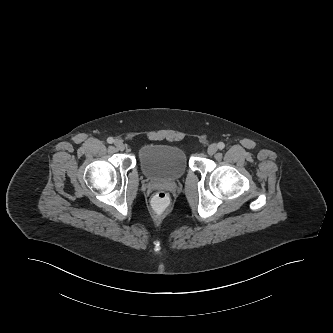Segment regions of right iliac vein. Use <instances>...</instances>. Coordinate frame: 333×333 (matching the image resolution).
Wrapping results in <instances>:
<instances>
[{
    "label": "right iliac vein",
    "mask_w": 333,
    "mask_h": 333,
    "mask_svg": "<svg viewBox=\"0 0 333 333\" xmlns=\"http://www.w3.org/2000/svg\"><path fill=\"white\" fill-rule=\"evenodd\" d=\"M114 145L118 150H124L125 145L121 140H115Z\"/></svg>",
    "instance_id": "obj_1"
}]
</instances>
